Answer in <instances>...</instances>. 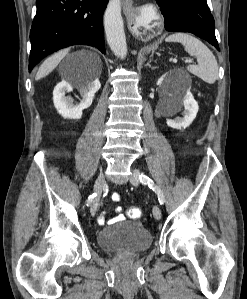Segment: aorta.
I'll return each instance as SVG.
<instances>
[{
  "label": "aorta",
  "instance_id": "762f6f07",
  "mask_svg": "<svg viewBox=\"0 0 247 299\" xmlns=\"http://www.w3.org/2000/svg\"><path fill=\"white\" fill-rule=\"evenodd\" d=\"M104 29L107 43L112 52L122 59L125 58L127 43L121 16V0L109 1L104 14Z\"/></svg>",
  "mask_w": 247,
  "mask_h": 299
}]
</instances>
